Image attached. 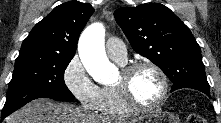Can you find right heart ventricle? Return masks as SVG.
Segmentation results:
<instances>
[{"label":"right heart ventricle","mask_w":221,"mask_h":123,"mask_svg":"<svg viewBox=\"0 0 221 123\" xmlns=\"http://www.w3.org/2000/svg\"><path fill=\"white\" fill-rule=\"evenodd\" d=\"M98 111L110 118H123L132 113L124 105L114 86L101 88V100Z\"/></svg>","instance_id":"1"}]
</instances>
